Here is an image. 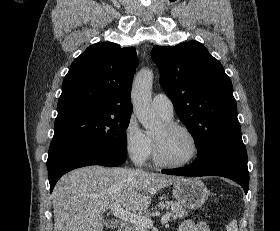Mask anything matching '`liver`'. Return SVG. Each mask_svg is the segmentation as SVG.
Wrapping results in <instances>:
<instances>
[{
    "label": "liver",
    "mask_w": 280,
    "mask_h": 231,
    "mask_svg": "<svg viewBox=\"0 0 280 231\" xmlns=\"http://www.w3.org/2000/svg\"><path fill=\"white\" fill-rule=\"evenodd\" d=\"M175 175L127 167H79L54 187V231H103L102 213L111 207L147 211L152 195L174 183Z\"/></svg>",
    "instance_id": "liver-1"
}]
</instances>
